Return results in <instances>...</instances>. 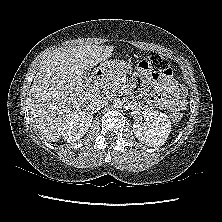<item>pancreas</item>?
I'll use <instances>...</instances> for the list:
<instances>
[{"label": "pancreas", "mask_w": 222, "mask_h": 222, "mask_svg": "<svg viewBox=\"0 0 222 222\" xmlns=\"http://www.w3.org/2000/svg\"><path fill=\"white\" fill-rule=\"evenodd\" d=\"M116 74V75H115ZM120 73H113L108 76L105 81L100 85L99 92L109 96L110 94L113 95L117 92V87L114 85V82L119 80Z\"/></svg>", "instance_id": "1"}]
</instances>
